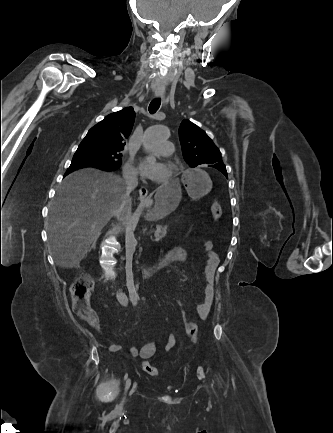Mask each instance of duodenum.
<instances>
[{
    "instance_id": "obj_1",
    "label": "duodenum",
    "mask_w": 333,
    "mask_h": 433,
    "mask_svg": "<svg viewBox=\"0 0 333 433\" xmlns=\"http://www.w3.org/2000/svg\"><path fill=\"white\" fill-rule=\"evenodd\" d=\"M170 260V256H166L164 258L158 259L153 264L146 266L142 269V277L143 279L150 278L160 267L163 263Z\"/></svg>"
}]
</instances>
